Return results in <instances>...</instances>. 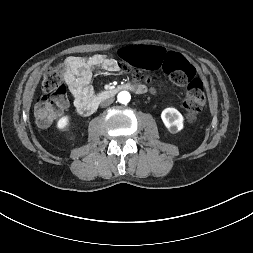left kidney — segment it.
Listing matches in <instances>:
<instances>
[{
    "instance_id": "left-kidney-1",
    "label": "left kidney",
    "mask_w": 253,
    "mask_h": 253,
    "mask_svg": "<svg viewBox=\"0 0 253 253\" xmlns=\"http://www.w3.org/2000/svg\"><path fill=\"white\" fill-rule=\"evenodd\" d=\"M161 119L171 133H177L183 129L184 118L176 108L164 109L161 113Z\"/></svg>"
}]
</instances>
